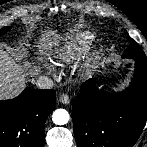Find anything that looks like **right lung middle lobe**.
Segmentation results:
<instances>
[{
  "label": "right lung middle lobe",
  "mask_w": 147,
  "mask_h": 147,
  "mask_svg": "<svg viewBox=\"0 0 147 147\" xmlns=\"http://www.w3.org/2000/svg\"><path fill=\"white\" fill-rule=\"evenodd\" d=\"M10 29H11V27H4V28L0 29V37H1V35H4Z\"/></svg>",
  "instance_id": "obj_1"
}]
</instances>
